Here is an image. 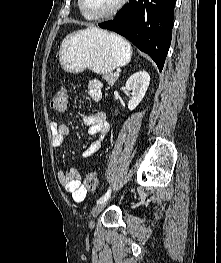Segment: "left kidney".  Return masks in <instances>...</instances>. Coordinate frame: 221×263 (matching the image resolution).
<instances>
[{"mask_svg": "<svg viewBox=\"0 0 221 263\" xmlns=\"http://www.w3.org/2000/svg\"><path fill=\"white\" fill-rule=\"evenodd\" d=\"M150 83V75L146 71L134 73L126 82V90L131 92L128 102L130 111L134 110L142 101Z\"/></svg>", "mask_w": 221, "mask_h": 263, "instance_id": "5707ae66", "label": "left kidney"}]
</instances>
